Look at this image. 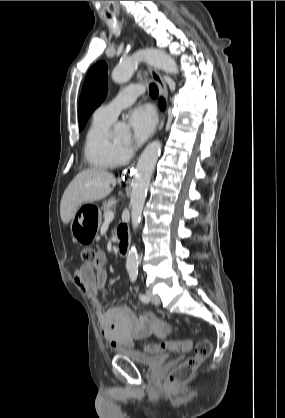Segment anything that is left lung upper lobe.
Listing matches in <instances>:
<instances>
[{
    "mask_svg": "<svg viewBox=\"0 0 285 418\" xmlns=\"http://www.w3.org/2000/svg\"><path fill=\"white\" fill-rule=\"evenodd\" d=\"M107 94V65L96 63L88 72L78 106L79 130L81 131L92 112L101 104Z\"/></svg>",
    "mask_w": 285,
    "mask_h": 418,
    "instance_id": "obj_1",
    "label": "left lung upper lobe"
}]
</instances>
